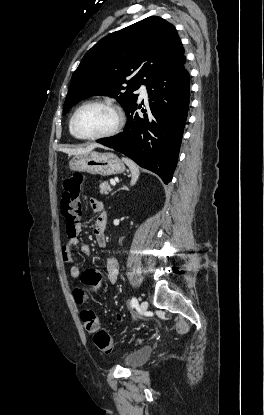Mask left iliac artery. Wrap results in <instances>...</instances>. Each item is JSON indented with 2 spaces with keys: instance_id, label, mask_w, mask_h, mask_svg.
Returning a JSON list of instances; mask_svg holds the SVG:
<instances>
[{
  "instance_id": "obj_1",
  "label": "left iliac artery",
  "mask_w": 264,
  "mask_h": 415,
  "mask_svg": "<svg viewBox=\"0 0 264 415\" xmlns=\"http://www.w3.org/2000/svg\"><path fill=\"white\" fill-rule=\"evenodd\" d=\"M130 305L132 308L136 307L138 305V301L135 297H133L130 301Z\"/></svg>"
}]
</instances>
